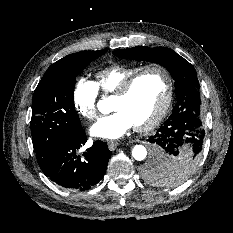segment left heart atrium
<instances>
[{
  "instance_id": "obj_1",
  "label": "left heart atrium",
  "mask_w": 233,
  "mask_h": 233,
  "mask_svg": "<svg viewBox=\"0 0 233 233\" xmlns=\"http://www.w3.org/2000/svg\"><path fill=\"white\" fill-rule=\"evenodd\" d=\"M134 126L131 119L121 110L101 117L91 127L92 135L104 139H117L122 137Z\"/></svg>"
}]
</instances>
